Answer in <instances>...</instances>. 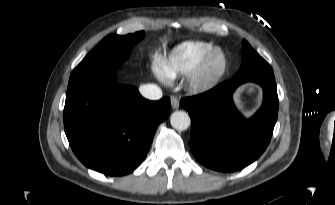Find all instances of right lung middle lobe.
I'll return each instance as SVG.
<instances>
[{
  "mask_svg": "<svg viewBox=\"0 0 335 205\" xmlns=\"http://www.w3.org/2000/svg\"><path fill=\"white\" fill-rule=\"evenodd\" d=\"M144 35L145 32L140 31L125 36H106L72 71L68 85L97 73L114 72Z\"/></svg>",
  "mask_w": 335,
  "mask_h": 205,
  "instance_id": "right-lung-middle-lobe-1",
  "label": "right lung middle lobe"
}]
</instances>
